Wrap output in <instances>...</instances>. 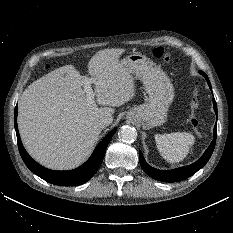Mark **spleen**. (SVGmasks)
<instances>
[{"label": "spleen", "instance_id": "spleen-1", "mask_svg": "<svg viewBox=\"0 0 233 233\" xmlns=\"http://www.w3.org/2000/svg\"><path fill=\"white\" fill-rule=\"evenodd\" d=\"M156 146L161 156L170 163H178L188 155L195 137L187 132L155 135Z\"/></svg>", "mask_w": 233, "mask_h": 233}]
</instances>
